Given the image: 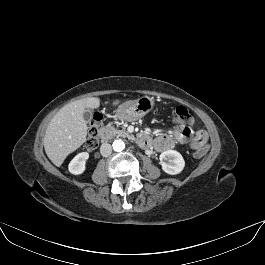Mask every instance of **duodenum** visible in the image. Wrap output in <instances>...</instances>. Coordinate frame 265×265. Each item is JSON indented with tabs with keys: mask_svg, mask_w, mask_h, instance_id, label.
Wrapping results in <instances>:
<instances>
[{
	"mask_svg": "<svg viewBox=\"0 0 265 265\" xmlns=\"http://www.w3.org/2000/svg\"><path fill=\"white\" fill-rule=\"evenodd\" d=\"M112 133V130L109 126H103L99 130V135L102 140H107ZM137 142L139 145L147 147L150 145V137L147 134H141L137 137Z\"/></svg>",
	"mask_w": 265,
	"mask_h": 265,
	"instance_id": "duodenum-1",
	"label": "duodenum"
}]
</instances>
